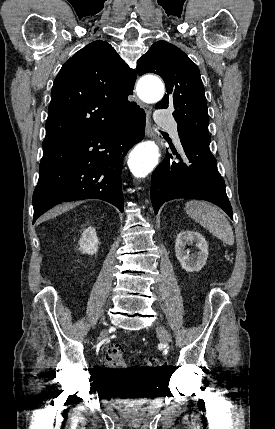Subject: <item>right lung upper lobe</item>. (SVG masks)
Segmentation results:
<instances>
[{
  "label": "right lung upper lobe",
  "mask_w": 275,
  "mask_h": 429,
  "mask_svg": "<svg viewBox=\"0 0 275 429\" xmlns=\"http://www.w3.org/2000/svg\"><path fill=\"white\" fill-rule=\"evenodd\" d=\"M136 71L106 41H94L61 68L51 90L43 148L117 123L137 106L128 101Z\"/></svg>",
  "instance_id": "obj_1"
}]
</instances>
